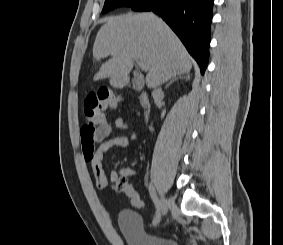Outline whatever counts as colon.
Instances as JSON below:
<instances>
[{
    "label": "colon",
    "mask_w": 283,
    "mask_h": 245,
    "mask_svg": "<svg viewBox=\"0 0 283 245\" xmlns=\"http://www.w3.org/2000/svg\"><path fill=\"white\" fill-rule=\"evenodd\" d=\"M122 100L111 95L106 90L93 93L87 96L84 105V117L86 124L100 125L105 122V112L109 109L117 108ZM116 190L125 194L133 207L141 209L144 207V201L135 188L129 184L126 178H119L116 183Z\"/></svg>",
    "instance_id": "colon-1"
}]
</instances>
